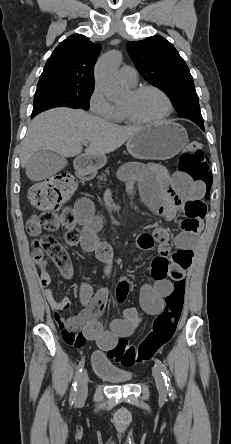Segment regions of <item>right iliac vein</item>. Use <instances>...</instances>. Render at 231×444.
Instances as JSON below:
<instances>
[{"label": "right iliac vein", "instance_id": "right-iliac-vein-1", "mask_svg": "<svg viewBox=\"0 0 231 444\" xmlns=\"http://www.w3.org/2000/svg\"><path fill=\"white\" fill-rule=\"evenodd\" d=\"M88 372L86 369L83 370V372L80 374L79 381H78V387L76 391V402L77 403H83L87 397L88 392Z\"/></svg>", "mask_w": 231, "mask_h": 444}]
</instances>
